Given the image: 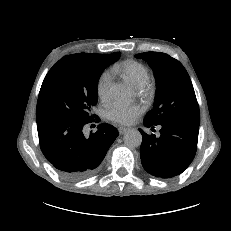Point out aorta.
<instances>
[{
    "label": "aorta",
    "mask_w": 231,
    "mask_h": 231,
    "mask_svg": "<svg viewBox=\"0 0 231 231\" xmlns=\"http://www.w3.org/2000/svg\"><path fill=\"white\" fill-rule=\"evenodd\" d=\"M111 94L114 98L127 102L130 98V90L123 84L113 85ZM124 143L129 148H136L142 143V135L137 129H128L124 134Z\"/></svg>",
    "instance_id": "1"
}]
</instances>
